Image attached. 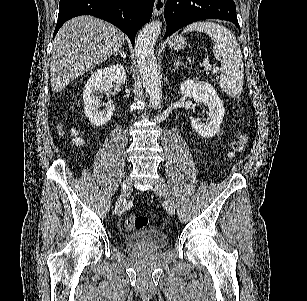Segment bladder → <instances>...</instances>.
I'll return each mask as SVG.
<instances>
[{
  "label": "bladder",
  "mask_w": 307,
  "mask_h": 301,
  "mask_svg": "<svg viewBox=\"0 0 307 301\" xmlns=\"http://www.w3.org/2000/svg\"><path fill=\"white\" fill-rule=\"evenodd\" d=\"M124 242L128 246L156 250L165 248L168 244V237L159 229L149 228L143 232H135L126 236Z\"/></svg>",
  "instance_id": "1"
}]
</instances>
